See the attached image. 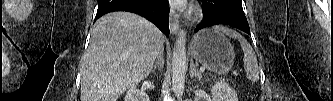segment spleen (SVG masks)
Returning a JSON list of instances; mask_svg holds the SVG:
<instances>
[{
	"instance_id": "obj_1",
	"label": "spleen",
	"mask_w": 333,
	"mask_h": 101,
	"mask_svg": "<svg viewBox=\"0 0 333 101\" xmlns=\"http://www.w3.org/2000/svg\"><path fill=\"white\" fill-rule=\"evenodd\" d=\"M216 31H222L229 37L233 39H238L243 52H244V69L247 73V77L252 82H257L259 79V69H258V63H257V57L255 55V52L253 51L250 44L247 42V40L242 37L239 33L236 31H233L227 27L224 26H215L213 27Z\"/></svg>"
}]
</instances>
